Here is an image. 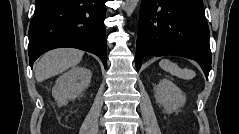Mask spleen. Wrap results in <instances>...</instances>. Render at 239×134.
I'll return each mask as SVG.
<instances>
[{"instance_id":"3e777b00","label":"spleen","mask_w":239,"mask_h":134,"mask_svg":"<svg viewBox=\"0 0 239 134\" xmlns=\"http://www.w3.org/2000/svg\"><path fill=\"white\" fill-rule=\"evenodd\" d=\"M159 66L165 70L166 72H169L173 76H177L182 79H193L196 74L194 71L189 69H181L176 63L168 60V59H162L159 62Z\"/></svg>"}]
</instances>
